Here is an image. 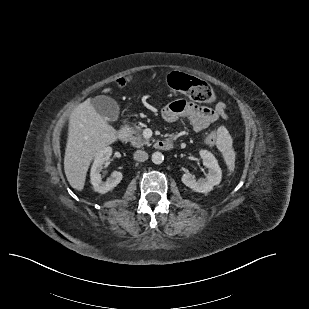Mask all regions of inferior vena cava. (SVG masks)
<instances>
[{"instance_id":"inferior-vena-cava-1","label":"inferior vena cava","mask_w":309,"mask_h":309,"mask_svg":"<svg viewBox=\"0 0 309 309\" xmlns=\"http://www.w3.org/2000/svg\"><path fill=\"white\" fill-rule=\"evenodd\" d=\"M134 159L139 162H144L148 159V154L143 150H137L134 153Z\"/></svg>"}]
</instances>
